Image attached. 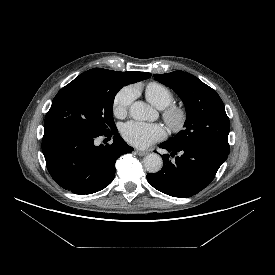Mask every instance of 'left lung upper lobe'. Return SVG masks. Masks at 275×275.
I'll return each mask as SVG.
<instances>
[{
    "label": "left lung upper lobe",
    "instance_id": "left-lung-upper-lobe-1",
    "mask_svg": "<svg viewBox=\"0 0 275 275\" xmlns=\"http://www.w3.org/2000/svg\"><path fill=\"white\" fill-rule=\"evenodd\" d=\"M154 78L175 91L187 112L185 128L166 143L229 154V118L215 90L183 71L155 74Z\"/></svg>",
    "mask_w": 275,
    "mask_h": 275
}]
</instances>
